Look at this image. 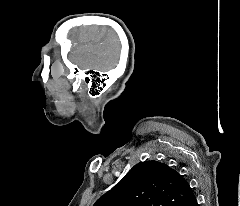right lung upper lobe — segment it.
Wrapping results in <instances>:
<instances>
[{
	"instance_id": "obj_1",
	"label": "right lung upper lobe",
	"mask_w": 240,
	"mask_h": 206,
	"mask_svg": "<svg viewBox=\"0 0 240 206\" xmlns=\"http://www.w3.org/2000/svg\"><path fill=\"white\" fill-rule=\"evenodd\" d=\"M194 197L177 171L158 161L140 162L93 206H182Z\"/></svg>"
}]
</instances>
